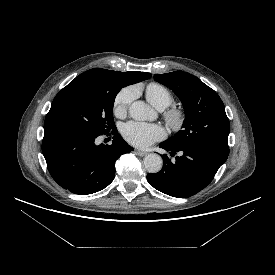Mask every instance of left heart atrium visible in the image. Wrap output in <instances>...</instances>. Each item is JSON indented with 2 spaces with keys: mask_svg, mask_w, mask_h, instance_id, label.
I'll list each match as a JSON object with an SVG mask.
<instances>
[{
  "mask_svg": "<svg viewBox=\"0 0 275 275\" xmlns=\"http://www.w3.org/2000/svg\"><path fill=\"white\" fill-rule=\"evenodd\" d=\"M122 135L131 145L146 148L163 139L166 132L157 124L131 121L123 126Z\"/></svg>",
  "mask_w": 275,
  "mask_h": 275,
  "instance_id": "1",
  "label": "left heart atrium"
}]
</instances>
